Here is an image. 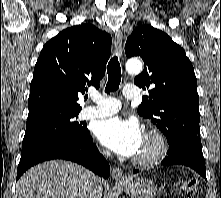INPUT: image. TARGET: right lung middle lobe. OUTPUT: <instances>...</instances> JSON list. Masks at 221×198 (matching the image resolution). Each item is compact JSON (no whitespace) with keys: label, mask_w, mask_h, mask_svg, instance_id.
Wrapping results in <instances>:
<instances>
[{"label":"right lung middle lobe","mask_w":221,"mask_h":198,"mask_svg":"<svg viewBox=\"0 0 221 198\" xmlns=\"http://www.w3.org/2000/svg\"><path fill=\"white\" fill-rule=\"evenodd\" d=\"M79 112L52 114L26 123L22 148L53 136L81 137L87 134V126L74 121Z\"/></svg>","instance_id":"1"}]
</instances>
